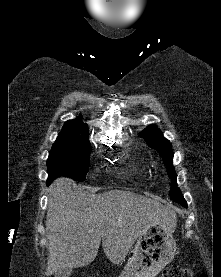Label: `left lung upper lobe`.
<instances>
[{"instance_id": "5c2ea615", "label": "left lung upper lobe", "mask_w": 221, "mask_h": 277, "mask_svg": "<svg viewBox=\"0 0 221 277\" xmlns=\"http://www.w3.org/2000/svg\"><path fill=\"white\" fill-rule=\"evenodd\" d=\"M140 136L144 138L151 148L156 149V151L163 157L164 163L167 167V174L171 179L170 197L172 200L183 204L185 199L183 198L180 189L177 187L176 173L172 164L173 153L171 150V143L163 137L161 130L155 125L146 127L141 132Z\"/></svg>"}]
</instances>
